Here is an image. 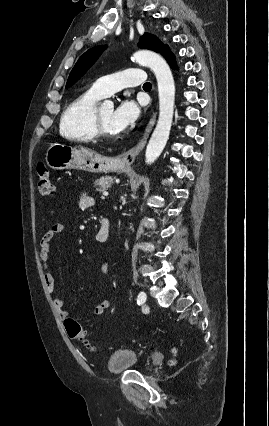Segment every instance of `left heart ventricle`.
I'll list each match as a JSON object with an SVG mask.
<instances>
[{
    "instance_id": "obj_1",
    "label": "left heart ventricle",
    "mask_w": 269,
    "mask_h": 426,
    "mask_svg": "<svg viewBox=\"0 0 269 426\" xmlns=\"http://www.w3.org/2000/svg\"><path fill=\"white\" fill-rule=\"evenodd\" d=\"M113 111L111 107H103L99 109V116L105 130L111 135H117L119 131H117L112 124Z\"/></svg>"
}]
</instances>
